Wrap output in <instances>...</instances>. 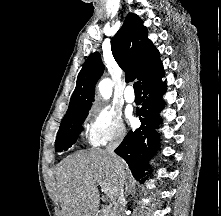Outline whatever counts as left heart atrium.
Here are the masks:
<instances>
[{
	"label": "left heart atrium",
	"mask_w": 221,
	"mask_h": 216,
	"mask_svg": "<svg viewBox=\"0 0 221 216\" xmlns=\"http://www.w3.org/2000/svg\"><path fill=\"white\" fill-rule=\"evenodd\" d=\"M131 122H134V119L133 118H130Z\"/></svg>",
	"instance_id": "left-heart-atrium-1"
}]
</instances>
